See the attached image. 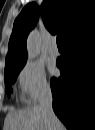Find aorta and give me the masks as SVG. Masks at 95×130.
Listing matches in <instances>:
<instances>
[{"mask_svg":"<svg viewBox=\"0 0 95 130\" xmlns=\"http://www.w3.org/2000/svg\"><path fill=\"white\" fill-rule=\"evenodd\" d=\"M39 52V33L37 30L32 31L27 39V54L29 59H34Z\"/></svg>","mask_w":95,"mask_h":130,"instance_id":"762f6f07","label":"aorta"}]
</instances>
